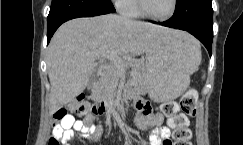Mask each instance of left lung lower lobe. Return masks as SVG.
I'll use <instances>...</instances> for the list:
<instances>
[{
	"label": "left lung lower lobe",
	"mask_w": 243,
	"mask_h": 145,
	"mask_svg": "<svg viewBox=\"0 0 243 145\" xmlns=\"http://www.w3.org/2000/svg\"><path fill=\"white\" fill-rule=\"evenodd\" d=\"M153 23H157V22H153ZM159 24L170 28L181 29L191 33L204 44V46L207 48L209 52V55L211 56L213 31L199 30L194 25L187 22V20L183 18L180 14H177L175 12L169 20L165 22H161Z\"/></svg>",
	"instance_id": "left-lung-lower-lobe-1"
}]
</instances>
